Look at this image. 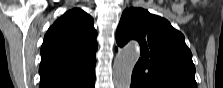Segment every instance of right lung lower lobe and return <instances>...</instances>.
Here are the masks:
<instances>
[{"instance_id": "98d812e1", "label": "right lung lower lobe", "mask_w": 223, "mask_h": 88, "mask_svg": "<svg viewBox=\"0 0 223 88\" xmlns=\"http://www.w3.org/2000/svg\"><path fill=\"white\" fill-rule=\"evenodd\" d=\"M94 82H95V80H94ZM94 82H92V84L87 86L86 88H94Z\"/></svg>"}]
</instances>
